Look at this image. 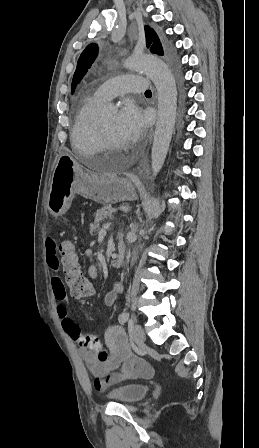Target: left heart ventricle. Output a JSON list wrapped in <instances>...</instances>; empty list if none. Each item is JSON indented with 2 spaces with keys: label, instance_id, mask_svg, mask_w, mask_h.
Wrapping results in <instances>:
<instances>
[{
  "label": "left heart ventricle",
  "instance_id": "b2bd125f",
  "mask_svg": "<svg viewBox=\"0 0 259 448\" xmlns=\"http://www.w3.org/2000/svg\"><path fill=\"white\" fill-rule=\"evenodd\" d=\"M99 119L105 125L112 142L118 147L122 146L124 142V134L117 127V114L107 115ZM77 152L84 156L94 154V151H77Z\"/></svg>",
  "mask_w": 259,
  "mask_h": 448
}]
</instances>
